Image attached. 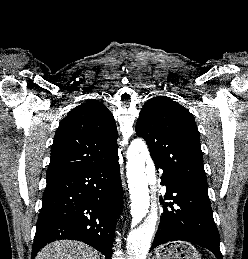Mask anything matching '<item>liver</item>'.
I'll list each match as a JSON object with an SVG mask.
<instances>
[{
	"instance_id": "liver-1",
	"label": "liver",
	"mask_w": 248,
	"mask_h": 259,
	"mask_svg": "<svg viewBox=\"0 0 248 259\" xmlns=\"http://www.w3.org/2000/svg\"><path fill=\"white\" fill-rule=\"evenodd\" d=\"M35 259H100V254L82 242L60 240L46 245Z\"/></svg>"
}]
</instances>
